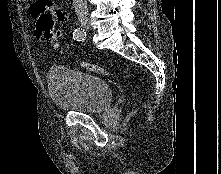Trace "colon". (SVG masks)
I'll return each mask as SVG.
<instances>
[{
	"label": "colon",
	"mask_w": 221,
	"mask_h": 174,
	"mask_svg": "<svg viewBox=\"0 0 221 174\" xmlns=\"http://www.w3.org/2000/svg\"><path fill=\"white\" fill-rule=\"evenodd\" d=\"M36 35L39 39L50 41L55 44L56 47H59L58 39L59 32L54 27V19L49 14L42 15L36 22ZM80 66L90 72H95L99 74L108 75L109 72L98 65L90 63H81Z\"/></svg>",
	"instance_id": "colon-1"
}]
</instances>
